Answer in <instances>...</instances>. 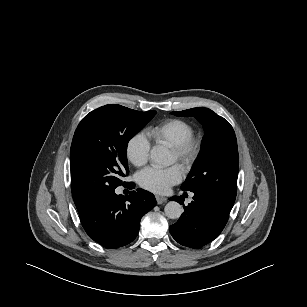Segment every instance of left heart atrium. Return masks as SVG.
Masks as SVG:
<instances>
[{
  "label": "left heart atrium",
  "mask_w": 307,
  "mask_h": 307,
  "mask_svg": "<svg viewBox=\"0 0 307 307\" xmlns=\"http://www.w3.org/2000/svg\"><path fill=\"white\" fill-rule=\"evenodd\" d=\"M139 185L153 193H166L171 186L182 179V171L178 166L169 168L148 167L138 174Z\"/></svg>",
  "instance_id": "left-heart-atrium-1"
}]
</instances>
